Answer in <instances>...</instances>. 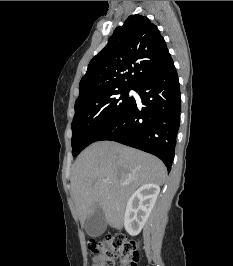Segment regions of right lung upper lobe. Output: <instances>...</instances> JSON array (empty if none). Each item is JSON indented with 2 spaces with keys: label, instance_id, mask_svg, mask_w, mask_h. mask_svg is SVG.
<instances>
[{
  "label": "right lung upper lobe",
  "instance_id": "obj_1",
  "mask_svg": "<svg viewBox=\"0 0 233 266\" xmlns=\"http://www.w3.org/2000/svg\"><path fill=\"white\" fill-rule=\"evenodd\" d=\"M171 60L158 28L145 16L131 15L90 61L76 101L104 91L136 89Z\"/></svg>",
  "mask_w": 233,
  "mask_h": 266
}]
</instances>
